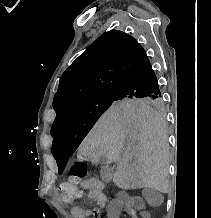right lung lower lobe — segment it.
<instances>
[{
    "label": "right lung lower lobe",
    "mask_w": 211,
    "mask_h": 218,
    "mask_svg": "<svg viewBox=\"0 0 211 218\" xmlns=\"http://www.w3.org/2000/svg\"><path fill=\"white\" fill-rule=\"evenodd\" d=\"M116 95L125 97H162L157 77L148 59L125 79Z\"/></svg>",
    "instance_id": "obj_1"
}]
</instances>
